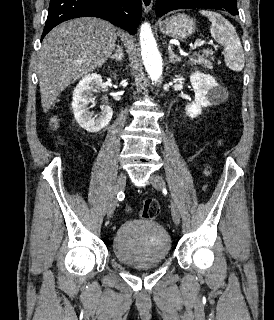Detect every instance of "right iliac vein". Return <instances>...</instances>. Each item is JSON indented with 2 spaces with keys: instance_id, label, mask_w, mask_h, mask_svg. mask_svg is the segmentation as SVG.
<instances>
[{
  "instance_id": "obj_1",
  "label": "right iliac vein",
  "mask_w": 274,
  "mask_h": 320,
  "mask_svg": "<svg viewBox=\"0 0 274 320\" xmlns=\"http://www.w3.org/2000/svg\"><path fill=\"white\" fill-rule=\"evenodd\" d=\"M126 185V176L125 174H120L118 176L117 182L115 184L112 196L110 198L109 204H108V208H107V216L111 217L115 211L116 205H117V194L120 191H123Z\"/></svg>"
}]
</instances>
